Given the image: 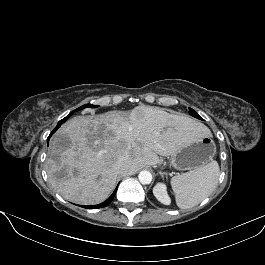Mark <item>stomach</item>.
Here are the masks:
<instances>
[{
    "label": "stomach",
    "instance_id": "obj_1",
    "mask_svg": "<svg viewBox=\"0 0 265 265\" xmlns=\"http://www.w3.org/2000/svg\"><path fill=\"white\" fill-rule=\"evenodd\" d=\"M216 153L211 135L187 138L170 155V165L177 170H194L208 164Z\"/></svg>",
    "mask_w": 265,
    "mask_h": 265
}]
</instances>
